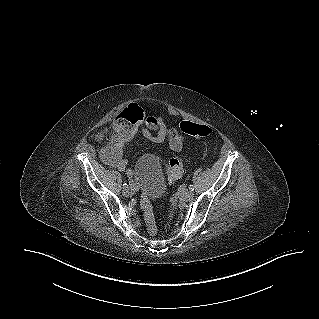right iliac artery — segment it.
<instances>
[{"label": "right iliac artery", "mask_w": 319, "mask_h": 319, "mask_svg": "<svg viewBox=\"0 0 319 319\" xmlns=\"http://www.w3.org/2000/svg\"><path fill=\"white\" fill-rule=\"evenodd\" d=\"M127 187H128L127 183H124L123 188H127Z\"/></svg>", "instance_id": "obj_1"}]
</instances>
